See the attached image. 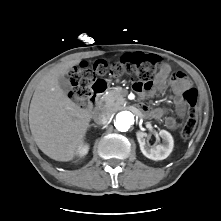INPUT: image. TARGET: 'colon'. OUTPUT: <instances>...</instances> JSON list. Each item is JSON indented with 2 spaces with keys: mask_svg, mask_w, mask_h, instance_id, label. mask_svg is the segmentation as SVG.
I'll use <instances>...</instances> for the list:
<instances>
[{
  "mask_svg": "<svg viewBox=\"0 0 221 221\" xmlns=\"http://www.w3.org/2000/svg\"><path fill=\"white\" fill-rule=\"evenodd\" d=\"M160 58L154 54L139 53L123 63L109 64L105 61H97L92 66L81 65L71 71L72 83L71 96L78 102L89 99L90 86L95 75H121L127 73L134 80L138 90L151 89L160 66ZM183 99L189 107L188 117L181 129L183 138H190L197 123L198 94L195 88H186L183 91Z\"/></svg>",
  "mask_w": 221,
  "mask_h": 221,
  "instance_id": "obj_1",
  "label": "colon"
}]
</instances>
